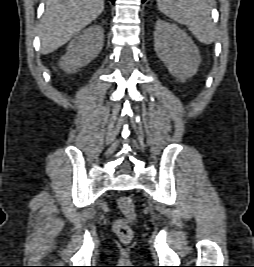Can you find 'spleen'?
I'll use <instances>...</instances> for the list:
<instances>
[{
	"label": "spleen",
	"mask_w": 254,
	"mask_h": 267,
	"mask_svg": "<svg viewBox=\"0 0 254 267\" xmlns=\"http://www.w3.org/2000/svg\"><path fill=\"white\" fill-rule=\"evenodd\" d=\"M157 7L173 21L186 25L200 42L213 43L215 24L206 0H157Z\"/></svg>",
	"instance_id": "spleen-1"
}]
</instances>
